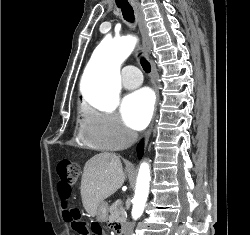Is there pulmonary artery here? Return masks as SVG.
Segmentation results:
<instances>
[{
	"instance_id": "obj_1",
	"label": "pulmonary artery",
	"mask_w": 250,
	"mask_h": 235,
	"mask_svg": "<svg viewBox=\"0 0 250 235\" xmlns=\"http://www.w3.org/2000/svg\"><path fill=\"white\" fill-rule=\"evenodd\" d=\"M142 75L137 67L126 66L122 71V85L126 89H133L141 85Z\"/></svg>"
}]
</instances>
